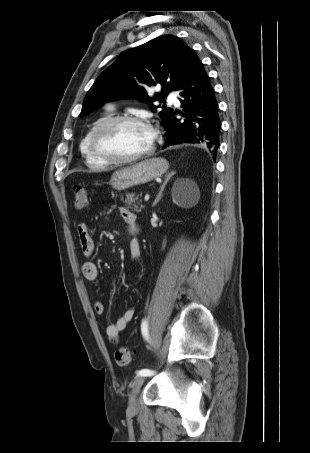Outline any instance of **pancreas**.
Listing matches in <instances>:
<instances>
[{
	"instance_id": "pancreas-1",
	"label": "pancreas",
	"mask_w": 310,
	"mask_h": 453,
	"mask_svg": "<svg viewBox=\"0 0 310 453\" xmlns=\"http://www.w3.org/2000/svg\"><path fill=\"white\" fill-rule=\"evenodd\" d=\"M138 199L139 195H136L135 193H127L124 203L128 206V208L134 209L135 211H140L143 206L139 202H137Z\"/></svg>"
}]
</instances>
